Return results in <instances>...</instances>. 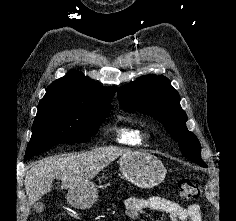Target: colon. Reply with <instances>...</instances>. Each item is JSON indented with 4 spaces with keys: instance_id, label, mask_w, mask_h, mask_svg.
Instances as JSON below:
<instances>
[{
    "instance_id": "1",
    "label": "colon",
    "mask_w": 236,
    "mask_h": 221,
    "mask_svg": "<svg viewBox=\"0 0 236 221\" xmlns=\"http://www.w3.org/2000/svg\"><path fill=\"white\" fill-rule=\"evenodd\" d=\"M178 189L181 198L185 200L195 199L199 196L198 187L189 178H181L178 181Z\"/></svg>"
}]
</instances>
